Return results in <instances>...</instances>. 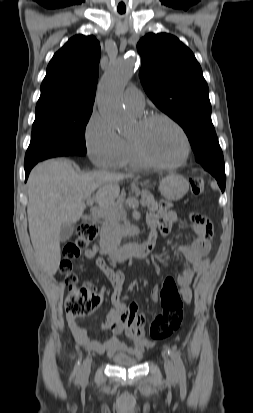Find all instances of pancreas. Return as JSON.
Instances as JSON below:
<instances>
[{
    "instance_id": "1",
    "label": "pancreas",
    "mask_w": 253,
    "mask_h": 413,
    "mask_svg": "<svg viewBox=\"0 0 253 413\" xmlns=\"http://www.w3.org/2000/svg\"><path fill=\"white\" fill-rule=\"evenodd\" d=\"M136 196H141V203L147 206L149 211H157L158 203L155 201L153 195L146 190L135 189ZM106 222L109 224H117L120 220L125 219V211L123 208L117 207L109 211L106 215Z\"/></svg>"
}]
</instances>
